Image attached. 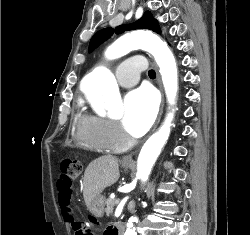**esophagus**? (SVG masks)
<instances>
[{"instance_id": "obj_1", "label": "esophagus", "mask_w": 250, "mask_h": 235, "mask_svg": "<svg viewBox=\"0 0 250 235\" xmlns=\"http://www.w3.org/2000/svg\"><path fill=\"white\" fill-rule=\"evenodd\" d=\"M157 83H158V86H159V89L162 93V101H161V105H160V110H159V113H158V116H157V119H156V122L153 126V131L156 129L160 119H161V116H162V113H163V108H164V95H163V90H162V84H161V80H160V76H159V73L157 71ZM137 150L129 155H126L122 158V162L123 163H133L134 162V155L136 154Z\"/></svg>"}]
</instances>
